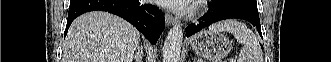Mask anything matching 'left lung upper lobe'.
Returning <instances> with one entry per match:
<instances>
[{"label": "left lung upper lobe", "mask_w": 331, "mask_h": 62, "mask_svg": "<svg viewBox=\"0 0 331 62\" xmlns=\"http://www.w3.org/2000/svg\"><path fill=\"white\" fill-rule=\"evenodd\" d=\"M213 2H222L224 0H212ZM252 1H256V0H252Z\"/></svg>", "instance_id": "obj_1"}]
</instances>
